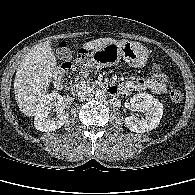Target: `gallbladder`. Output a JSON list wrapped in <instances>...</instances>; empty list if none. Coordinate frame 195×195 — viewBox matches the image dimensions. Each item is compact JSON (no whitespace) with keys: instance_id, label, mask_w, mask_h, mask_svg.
<instances>
[{"instance_id":"obj_1","label":"gallbladder","mask_w":195,"mask_h":195,"mask_svg":"<svg viewBox=\"0 0 195 195\" xmlns=\"http://www.w3.org/2000/svg\"><path fill=\"white\" fill-rule=\"evenodd\" d=\"M56 57L60 60L66 61L72 58V52L67 47H58L55 50Z\"/></svg>"}]
</instances>
